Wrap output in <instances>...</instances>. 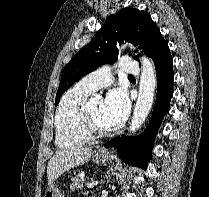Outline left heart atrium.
<instances>
[{"mask_svg":"<svg viewBox=\"0 0 209 197\" xmlns=\"http://www.w3.org/2000/svg\"><path fill=\"white\" fill-rule=\"evenodd\" d=\"M129 110L130 101L126 91L117 88L106 95L101 108V117L109 128H116L124 122Z\"/></svg>","mask_w":209,"mask_h":197,"instance_id":"left-heart-atrium-1","label":"left heart atrium"}]
</instances>
